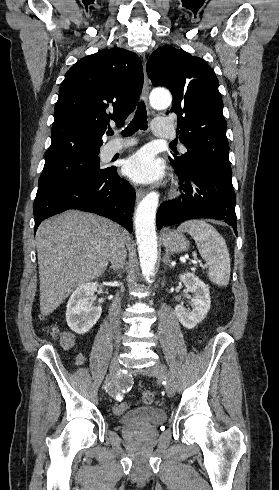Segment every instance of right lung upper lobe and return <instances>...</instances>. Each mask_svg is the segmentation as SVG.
I'll return each mask as SVG.
<instances>
[{
    "label": "right lung upper lobe",
    "instance_id": "right-lung-upper-lobe-1",
    "mask_svg": "<svg viewBox=\"0 0 279 490\" xmlns=\"http://www.w3.org/2000/svg\"><path fill=\"white\" fill-rule=\"evenodd\" d=\"M142 86L141 60L122 48L103 49L74 64L59 89L45 163L98 155L109 121L124 124Z\"/></svg>",
    "mask_w": 279,
    "mask_h": 490
}]
</instances>
